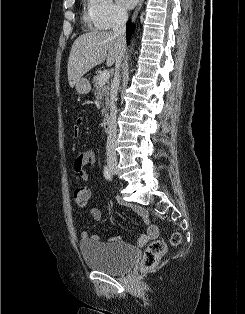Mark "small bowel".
Segmentation results:
<instances>
[{"label":"small bowel","mask_w":245,"mask_h":314,"mask_svg":"<svg viewBox=\"0 0 245 314\" xmlns=\"http://www.w3.org/2000/svg\"><path fill=\"white\" fill-rule=\"evenodd\" d=\"M82 124V119L77 118L75 121V125L73 127V133L75 136L79 133V126ZM97 159L96 155L93 151L86 150L81 151L77 154L74 163H73V170L75 174V179L78 182H84L88 179V174L85 170V166L94 167L96 165ZM133 209L138 214V216L141 218V220L146 225V233L141 234L138 237L137 243L140 246L146 245L149 241L156 239L158 237L159 231L158 228L152 224L149 221L147 211L140 207V206H134ZM91 217L95 221H102L103 220V214L100 209L98 208H92L90 211ZM81 238L84 241H96L99 239L98 235H92L88 231H83L81 233ZM121 237L120 236H113L109 239L110 242H120Z\"/></svg>","instance_id":"1"}]
</instances>
